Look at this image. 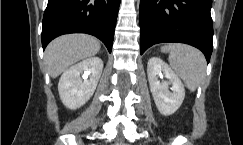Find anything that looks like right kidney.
<instances>
[{
  "instance_id": "1",
  "label": "right kidney",
  "mask_w": 243,
  "mask_h": 145,
  "mask_svg": "<svg viewBox=\"0 0 243 145\" xmlns=\"http://www.w3.org/2000/svg\"><path fill=\"white\" fill-rule=\"evenodd\" d=\"M103 70L99 57L87 58L62 74L58 91L63 104L69 109L84 105L93 95Z\"/></svg>"
}]
</instances>
